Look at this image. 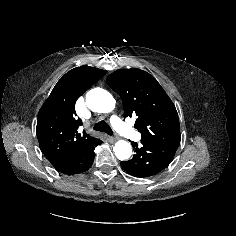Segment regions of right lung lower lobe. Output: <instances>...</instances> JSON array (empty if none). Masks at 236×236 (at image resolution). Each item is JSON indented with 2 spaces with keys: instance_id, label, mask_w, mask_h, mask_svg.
Wrapping results in <instances>:
<instances>
[{
  "instance_id": "1",
  "label": "right lung lower lobe",
  "mask_w": 236,
  "mask_h": 236,
  "mask_svg": "<svg viewBox=\"0 0 236 236\" xmlns=\"http://www.w3.org/2000/svg\"><path fill=\"white\" fill-rule=\"evenodd\" d=\"M101 143L102 141L98 139L76 153L52 161L51 164L57 171L66 175H74L87 171L92 165L95 157L94 149Z\"/></svg>"
}]
</instances>
